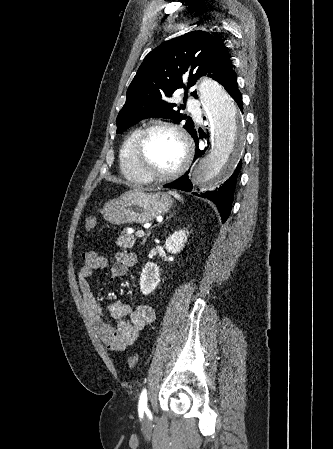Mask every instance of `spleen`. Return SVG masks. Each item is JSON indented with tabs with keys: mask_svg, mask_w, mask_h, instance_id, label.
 <instances>
[{
	"mask_svg": "<svg viewBox=\"0 0 333 449\" xmlns=\"http://www.w3.org/2000/svg\"><path fill=\"white\" fill-rule=\"evenodd\" d=\"M169 193L172 194L176 199H178V200L183 202V198L176 191H169Z\"/></svg>",
	"mask_w": 333,
	"mask_h": 449,
	"instance_id": "obj_1",
	"label": "spleen"
}]
</instances>
